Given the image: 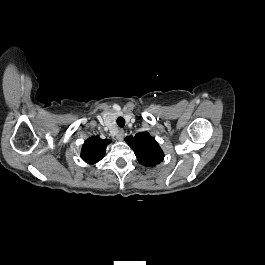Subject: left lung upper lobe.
Listing matches in <instances>:
<instances>
[{"instance_id": "5c2ea615", "label": "left lung upper lobe", "mask_w": 265, "mask_h": 265, "mask_svg": "<svg viewBox=\"0 0 265 265\" xmlns=\"http://www.w3.org/2000/svg\"><path fill=\"white\" fill-rule=\"evenodd\" d=\"M125 141L133 149L139 163L146 167H154L164 159L163 151L148 132L127 136Z\"/></svg>"}]
</instances>
